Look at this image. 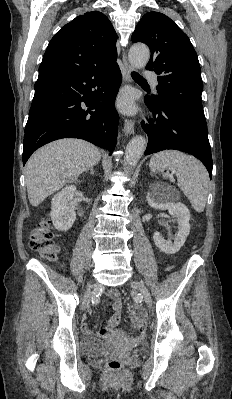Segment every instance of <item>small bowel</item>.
<instances>
[{
	"label": "small bowel",
	"mask_w": 232,
	"mask_h": 399,
	"mask_svg": "<svg viewBox=\"0 0 232 399\" xmlns=\"http://www.w3.org/2000/svg\"><path fill=\"white\" fill-rule=\"evenodd\" d=\"M108 296L110 298H117L118 297L116 292H114V291H110L108 293ZM121 312H122L121 305L120 304H115L114 307H113V318L108 324H106V325H104L102 327H97V326H92V325H90V324H88L86 322H80V323H78V327L81 330H84V331L90 332V333H98V334H101V335L108 334L111 331H113L114 328L116 327V325L118 324Z\"/></svg>",
	"instance_id": "1"
}]
</instances>
